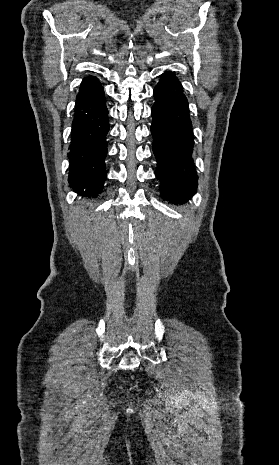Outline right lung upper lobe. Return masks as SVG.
Instances as JSON below:
<instances>
[{"label":"right lung upper lobe","mask_w":279,"mask_h":465,"mask_svg":"<svg viewBox=\"0 0 279 465\" xmlns=\"http://www.w3.org/2000/svg\"><path fill=\"white\" fill-rule=\"evenodd\" d=\"M92 79H94V77H88V78H85V79L83 80V82H86V81H89V80H92Z\"/></svg>","instance_id":"obj_1"}]
</instances>
